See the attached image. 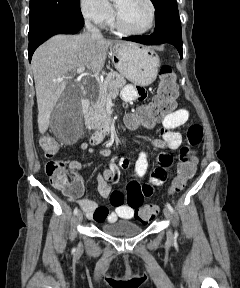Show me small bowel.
Wrapping results in <instances>:
<instances>
[{"instance_id": "1", "label": "small bowel", "mask_w": 240, "mask_h": 288, "mask_svg": "<svg viewBox=\"0 0 240 288\" xmlns=\"http://www.w3.org/2000/svg\"><path fill=\"white\" fill-rule=\"evenodd\" d=\"M147 92L143 87L128 85L123 88L121 97L125 104L132 103L136 100H144ZM190 117V112L185 109H177L167 114L161 121L162 128L160 137L152 141V145L157 149L169 148L175 150L183 142L181 133L178 131L180 127L185 125ZM203 136L202 127L199 124H192L189 126L186 134V142L189 145L198 144ZM81 151L93 153V149L88 143H81L79 145ZM101 154L104 156L110 155L109 149H103ZM159 166L151 173L148 183H139L138 179L142 178L148 169V155L146 152H141L133 166V179L127 185V193L129 191H138L141 197H150L153 193V186H159L165 183L168 177V171L171 166V157L166 152L160 151L157 154ZM69 171L77 179L82 182L81 176L78 172L82 169V164L79 161L73 160L68 164ZM130 167V161L126 157H120L116 162L112 163L109 168L102 173L97 174L98 191L104 198L109 197L114 211L110 212L107 207L99 206L91 199H78L80 207L84 210L87 218L96 223L113 222L117 219H131L135 215L133 207L125 203V194L121 190H113L112 185L118 178L121 170H127ZM82 193V192H81ZM71 195V200L77 199L80 195Z\"/></svg>"}]
</instances>
